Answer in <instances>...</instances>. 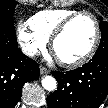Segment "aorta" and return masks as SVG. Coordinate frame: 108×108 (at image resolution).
I'll use <instances>...</instances> for the list:
<instances>
[{
    "instance_id": "762f6f07",
    "label": "aorta",
    "mask_w": 108,
    "mask_h": 108,
    "mask_svg": "<svg viewBox=\"0 0 108 108\" xmlns=\"http://www.w3.org/2000/svg\"><path fill=\"white\" fill-rule=\"evenodd\" d=\"M41 82L44 89L48 91H53L57 88V81L52 76H45Z\"/></svg>"
}]
</instances>
